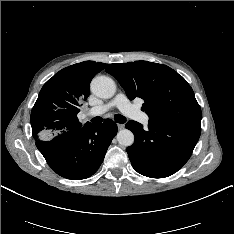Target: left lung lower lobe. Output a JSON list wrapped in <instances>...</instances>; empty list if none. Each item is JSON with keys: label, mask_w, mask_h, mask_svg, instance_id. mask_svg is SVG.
<instances>
[{"label": "left lung lower lobe", "mask_w": 234, "mask_h": 234, "mask_svg": "<svg viewBox=\"0 0 234 234\" xmlns=\"http://www.w3.org/2000/svg\"><path fill=\"white\" fill-rule=\"evenodd\" d=\"M126 128L135 135L127 148L133 168L151 178H163L177 172L190 158L199 140L201 127L196 122L150 123L147 129L136 121Z\"/></svg>", "instance_id": "1"}]
</instances>
